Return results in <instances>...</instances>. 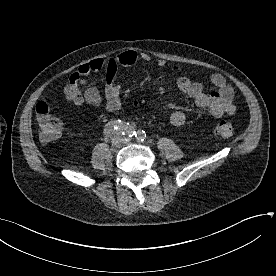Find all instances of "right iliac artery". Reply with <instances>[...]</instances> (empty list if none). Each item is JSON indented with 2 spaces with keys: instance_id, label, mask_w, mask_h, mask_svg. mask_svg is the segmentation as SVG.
<instances>
[{
  "instance_id": "1",
  "label": "right iliac artery",
  "mask_w": 276,
  "mask_h": 276,
  "mask_svg": "<svg viewBox=\"0 0 276 276\" xmlns=\"http://www.w3.org/2000/svg\"><path fill=\"white\" fill-rule=\"evenodd\" d=\"M115 131H119L123 135L129 136V137H133L136 132L134 127L131 124L125 123L121 120H116V121L109 122L105 126L104 128L105 139H109L111 135L115 133Z\"/></svg>"
}]
</instances>
